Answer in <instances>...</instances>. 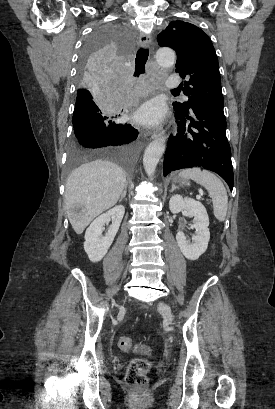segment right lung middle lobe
I'll use <instances>...</instances> for the list:
<instances>
[{
  "label": "right lung middle lobe",
  "mask_w": 275,
  "mask_h": 409,
  "mask_svg": "<svg viewBox=\"0 0 275 409\" xmlns=\"http://www.w3.org/2000/svg\"><path fill=\"white\" fill-rule=\"evenodd\" d=\"M128 30L120 24H98L84 43L75 78L79 85L73 114V135L68 164L63 176L70 178L74 167L113 161L115 167L138 171L142 141L138 130L127 124L128 97L112 91H127L125 59L120 51H134Z\"/></svg>",
  "instance_id": "right-lung-middle-lobe-1"
}]
</instances>
